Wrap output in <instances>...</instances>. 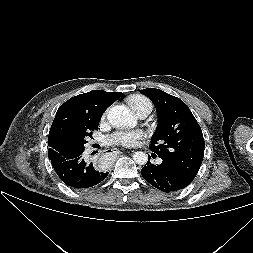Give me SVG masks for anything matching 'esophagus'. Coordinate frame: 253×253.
<instances>
[{"label":"esophagus","mask_w":253,"mask_h":253,"mask_svg":"<svg viewBox=\"0 0 253 253\" xmlns=\"http://www.w3.org/2000/svg\"><path fill=\"white\" fill-rule=\"evenodd\" d=\"M109 151L111 154H116V155L121 153L120 150L117 148H111Z\"/></svg>","instance_id":"esophagus-1"}]
</instances>
